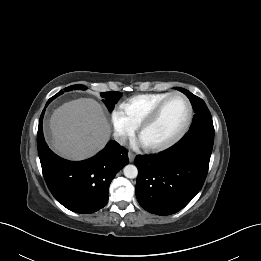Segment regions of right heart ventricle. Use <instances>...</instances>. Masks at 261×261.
Wrapping results in <instances>:
<instances>
[{
	"label": "right heart ventricle",
	"instance_id": "e07e8e85",
	"mask_svg": "<svg viewBox=\"0 0 261 261\" xmlns=\"http://www.w3.org/2000/svg\"><path fill=\"white\" fill-rule=\"evenodd\" d=\"M168 94V92L139 94L124 101L120 108L129 122L136 128L151 109Z\"/></svg>",
	"mask_w": 261,
	"mask_h": 261
}]
</instances>
